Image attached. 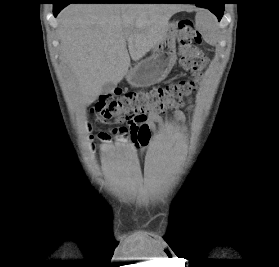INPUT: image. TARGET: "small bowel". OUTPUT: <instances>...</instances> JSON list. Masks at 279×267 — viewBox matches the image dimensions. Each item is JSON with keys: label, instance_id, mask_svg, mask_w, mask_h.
Wrapping results in <instances>:
<instances>
[{"label": "small bowel", "instance_id": "c3829d8e", "mask_svg": "<svg viewBox=\"0 0 279 267\" xmlns=\"http://www.w3.org/2000/svg\"><path fill=\"white\" fill-rule=\"evenodd\" d=\"M174 116L178 120L184 119V113L181 111L174 112ZM164 123V117L157 113H149L143 119L134 122L129 129L128 136L134 147L140 148L148 145L151 133L156 129L157 125H162ZM141 130L146 131V137L144 140L139 138Z\"/></svg>", "mask_w": 279, "mask_h": 267}]
</instances>
